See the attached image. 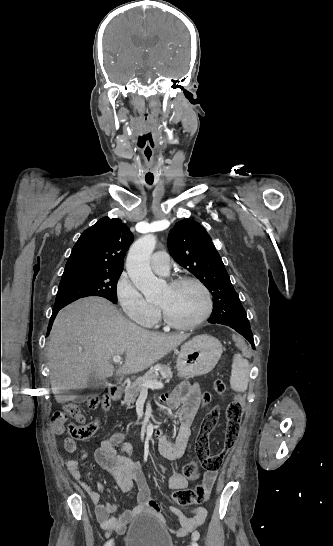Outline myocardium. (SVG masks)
<instances>
[{
    "mask_svg": "<svg viewBox=\"0 0 333 546\" xmlns=\"http://www.w3.org/2000/svg\"><path fill=\"white\" fill-rule=\"evenodd\" d=\"M184 284L196 285L202 291L205 298V305L201 315L196 320L190 323H180L172 319L163 307L159 306V309L162 314V319L167 326L176 330L186 331V330H193L201 326L209 318L213 310V298L209 288L200 279L196 277L181 276L172 280L169 286L172 288H177Z\"/></svg>",
    "mask_w": 333,
    "mask_h": 546,
    "instance_id": "f54148a6",
    "label": "myocardium"
}]
</instances>
